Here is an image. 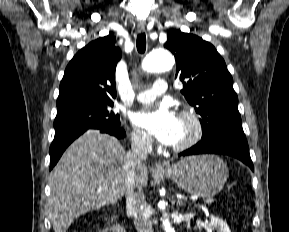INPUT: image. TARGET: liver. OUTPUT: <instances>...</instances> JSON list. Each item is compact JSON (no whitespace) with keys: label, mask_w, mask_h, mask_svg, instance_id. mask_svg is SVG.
I'll list each match as a JSON object with an SVG mask.
<instances>
[{"label":"liver","mask_w":289,"mask_h":232,"mask_svg":"<svg viewBox=\"0 0 289 232\" xmlns=\"http://www.w3.org/2000/svg\"><path fill=\"white\" fill-rule=\"evenodd\" d=\"M126 154L115 137L98 131L85 132L68 147L49 178V212L55 232H66L80 215L124 196ZM135 175L139 185L146 187L145 165L136 168Z\"/></svg>","instance_id":"liver-1"}]
</instances>
